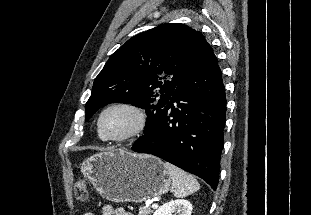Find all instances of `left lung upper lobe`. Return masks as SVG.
<instances>
[{
    "instance_id": "obj_1",
    "label": "left lung upper lobe",
    "mask_w": 311,
    "mask_h": 215,
    "mask_svg": "<svg viewBox=\"0 0 311 215\" xmlns=\"http://www.w3.org/2000/svg\"><path fill=\"white\" fill-rule=\"evenodd\" d=\"M205 41L200 32L179 23L162 24L130 38L96 77L85 120L109 103L132 104L146 111V133Z\"/></svg>"
}]
</instances>
